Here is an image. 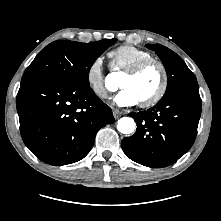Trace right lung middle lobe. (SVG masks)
<instances>
[{
	"label": "right lung middle lobe",
	"mask_w": 221,
	"mask_h": 221,
	"mask_svg": "<svg viewBox=\"0 0 221 221\" xmlns=\"http://www.w3.org/2000/svg\"><path fill=\"white\" fill-rule=\"evenodd\" d=\"M117 39L80 43L58 40L47 45L26 68L24 75H49L89 85L95 60Z\"/></svg>",
	"instance_id": "right-lung-middle-lobe-1"
}]
</instances>
